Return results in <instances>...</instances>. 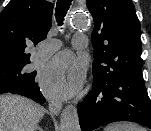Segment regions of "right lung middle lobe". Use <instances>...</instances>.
<instances>
[{
    "mask_svg": "<svg viewBox=\"0 0 151 131\" xmlns=\"http://www.w3.org/2000/svg\"><path fill=\"white\" fill-rule=\"evenodd\" d=\"M30 63V59L0 57V79L10 83H19L28 77L35 76L33 73H26L24 66Z\"/></svg>",
    "mask_w": 151,
    "mask_h": 131,
    "instance_id": "1",
    "label": "right lung middle lobe"
}]
</instances>
